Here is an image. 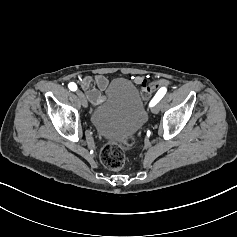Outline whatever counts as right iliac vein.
Returning <instances> with one entry per match:
<instances>
[{
    "label": "right iliac vein",
    "instance_id": "obj_1",
    "mask_svg": "<svg viewBox=\"0 0 237 237\" xmlns=\"http://www.w3.org/2000/svg\"><path fill=\"white\" fill-rule=\"evenodd\" d=\"M76 94L78 95L82 106L86 108L88 106V101H87V98L85 97V95L80 90H77Z\"/></svg>",
    "mask_w": 237,
    "mask_h": 237
}]
</instances>
